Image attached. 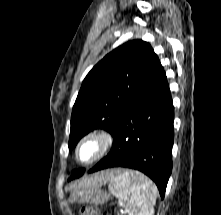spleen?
Listing matches in <instances>:
<instances>
[{
    "label": "spleen",
    "instance_id": "3e777b00",
    "mask_svg": "<svg viewBox=\"0 0 221 215\" xmlns=\"http://www.w3.org/2000/svg\"><path fill=\"white\" fill-rule=\"evenodd\" d=\"M109 189L124 203L129 215H152L157 189L143 174L133 171L117 172L111 179Z\"/></svg>",
    "mask_w": 221,
    "mask_h": 215
}]
</instances>
